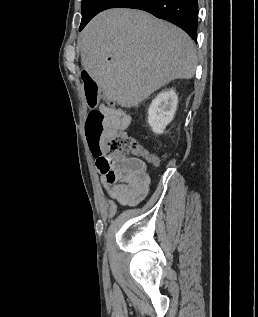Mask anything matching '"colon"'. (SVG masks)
Instances as JSON below:
<instances>
[{
	"instance_id": "obj_1",
	"label": "colon",
	"mask_w": 258,
	"mask_h": 317,
	"mask_svg": "<svg viewBox=\"0 0 258 317\" xmlns=\"http://www.w3.org/2000/svg\"><path fill=\"white\" fill-rule=\"evenodd\" d=\"M84 92L90 111L85 121V136L93 153L106 151L116 158L143 157L151 164H157L160 157L145 150L136 139L124 131L110 133L107 114L98 107L100 92L97 83L89 76L82 75Z\"/></svg>"
}]
</instances>
